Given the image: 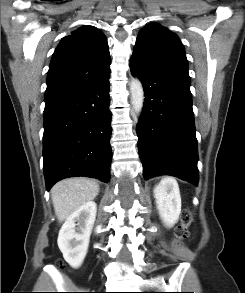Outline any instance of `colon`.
Wrapping results in <instances>:
<instances>
[{
    "label": "colon",
    "instance_id": "colon-1",
    "mask_svg": "<svg viewBox=\"0 0 245 293\" xmlns=\"http://www.w3.org/2000/svg\"><path fill=\"white\" fill-rule=\"evenodd\" d=\"M192 222V215L189 212H186L183 215L181 224L176 228L175 239L176 243H180L182 240L189 236L188 226Z\"/></svg>",
    "mask_w": 245,
    "mask_h": 293
}]
</instances>
